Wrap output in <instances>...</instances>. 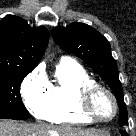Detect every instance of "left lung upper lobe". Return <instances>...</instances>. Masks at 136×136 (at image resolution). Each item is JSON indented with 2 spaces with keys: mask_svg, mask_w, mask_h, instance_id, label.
I'll use <instances>...</instances> for the list:
<instances>
[{
  "mask_svg": "<svg viewBox=\"0 0 136 136\" xmlns=\"http://www.w3.org/2000/svg\"><path fill=\"white\" fill-rule=\"evenodd\" d=\"M52 36L64 51L81 58L103 78L117 99L120 126L128 125L117 64L111 55L108 40L94 28L83 23H72L65 28L55 27L52 30Z\"/></svg>",
  "mask_w": 136,
  "mask_h": 136,
  "instance_id": "obj_1",
  "label": "left lung upper lobe"
}]
</instances>
